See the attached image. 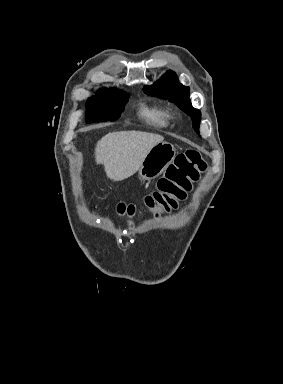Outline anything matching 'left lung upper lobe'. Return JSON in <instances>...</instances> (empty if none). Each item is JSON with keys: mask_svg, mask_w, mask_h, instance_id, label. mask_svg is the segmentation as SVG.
Here are the masks:
<instances>
[{"mask_svg": "<svg viewBox=\"0 0 283 384\" xmlns=\"http://www.w3.org/2000/svg\"><path fill=\"white\" fill-rule=\"evenodd\" d=\"M144 91L148 95L158 96L175 102L184 112L191 116L193 128L199 133L201 112L192 106L189 87L180 84L174 72L167 71L158 83L145 86Z\"/></svg>", "mask_w": 283, "mask_h": 384, "instance_id": "5c2ea615", "label": "left lung upper lobe"}]
</instances>
